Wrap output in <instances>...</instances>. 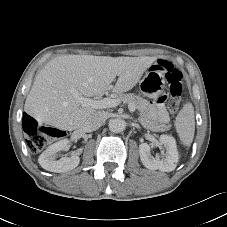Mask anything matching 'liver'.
<instances>
[{
	"mask_svg": "<svg viewBox=\"0 0 227 227\" xmlns=\"http://www.w3.org/2000/svg\"><path fill=\"white\" fill-rule=\"evenodd\" d=\"M155 57H110L63 55L50 60L36 76L26 98L24 110L39 122L60 130L73 131L84 126L97 112L83 107L71 90L81 96H102L107 91L131 90ZM118 77L116 84L112 82Z\"/></svg>",
	"mask_w": 227,
	"mask_h": 227,
	"instance_id": "1",
	"label": "liver"
}]
</instances>
